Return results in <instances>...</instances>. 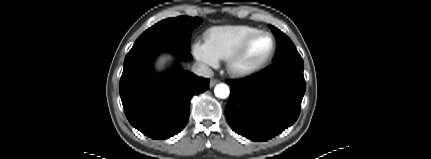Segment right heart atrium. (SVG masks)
<instances>
[{
  "label": "right heart atrium",
  "mask_w": 431,
  "mask_h": 159,
  "mask_svg": "<svg viewBox=\"0 0 431 159\" xmlns=\"http://www.w3.org/2000/svg\"><path fill=\"white\" fill-rule=\"evenodd\" d=\"M192 52L196 60L206 67H216L219 59L210 50L205 42L196 41L192 45Z\"/></svg>",
  "instance_id": "obj_1"
}]
</instances>
